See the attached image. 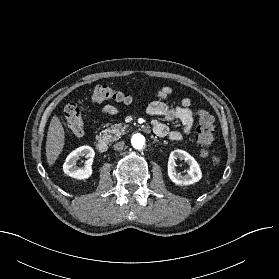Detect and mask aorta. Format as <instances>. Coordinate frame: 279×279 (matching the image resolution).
<instances>
[{"instance_id":"obj_1","label":"aorta","mask_w":279,"mask_h":279,"mask_svg":"<svg viewBox=\"0 0 279 279\" xmlns=\"http://www.w3.org/2000/svg\"><path fill=\"white\" fill-rule=\"evenodd\" d=\"M131 143L135 149H142L145 145V138L139 133L134 134L131 138Z\"/></svg>"}]
</instances>
